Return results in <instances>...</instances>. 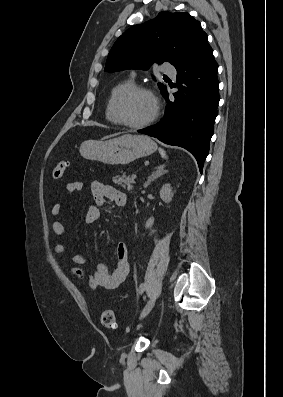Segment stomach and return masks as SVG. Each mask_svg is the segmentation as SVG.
I'll return each mask as SVG.
<instances>
[{
	"label": "stomach",
	"instance_id": "stomach-1",
	"mask_svg": "<svg viewBox=\"0 0 283 397\" xmlns=\"http://www.w3.org/2000/svg\"><path fill=\"white\" fill-rule=\"evenodd\" d=\"M156 149L157 145L150 137L126 134L105 141L86 140L81 144L79 151L86 159L118 165L149 156Z\"/></svg>",
	"mask_w": 283,
	"mask_h": 397
}]
</instances>
